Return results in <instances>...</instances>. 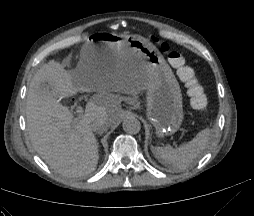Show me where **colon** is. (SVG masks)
<instances>
[{"label": "colon", "mask_w": 254, "mask_h": 216, "mask_svg": "<svg viewBox=\"0 0 254 216\" xmlns=\"http://www.w3.org/2000/svg\"><path fill=\"white\" fill-rule=\"evenodd\" d=\"M152 39L156 42L159 41L156 35H152ZM161 49L167 54L169 63L176 69L178 77L184 83L193 108L197 111L204 110L207 107L208 100L195 70L187 64L181 53L171 51L168 43L162 42Z\"/></svg>", "instance_id": "colon-1"}]
</instances>
